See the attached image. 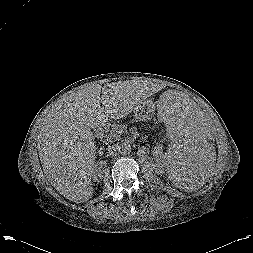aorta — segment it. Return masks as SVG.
I'll return each mask as SVG.
<instances>
[{"mask_svg": "<svg viewBox=\"0 0 253 253\" xmlns=\"http://www.w3.org/2000/svg\"><path fill=\"white\" fill-rule=\"evenodd\" d=\"M118 151L122 155H128L131 152V145L128 142L118 144Z\"/></svg>", "mask_w": 253, "mask_h": 253, "instance_id": "1", "label": "aorta"}]
</instances>
